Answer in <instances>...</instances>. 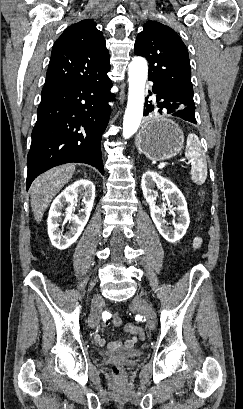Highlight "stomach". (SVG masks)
<instances>
[{
	"label": "stomach",
	"mask_w": 243,
	"mask_h": 409,
	"mask_svg": "<svg viewBox=\"0 0 243 409\" xmlns=\"http://www.w3.org/2000/svg\"><path fill=\"white\" fill-rule=\"evenodd\" d=\"M184 134L177 123L165 116H154L145 121L136 137L140 153L155 161L176 156L182 149Z\"/></svg>",
	"instance_id": "1"
}]
</instances>
